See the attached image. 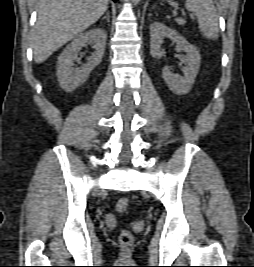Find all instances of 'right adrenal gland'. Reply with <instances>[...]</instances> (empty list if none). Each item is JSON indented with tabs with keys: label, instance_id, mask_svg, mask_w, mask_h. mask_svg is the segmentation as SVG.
I'll list each match as a JSON object with an SVG mask.
<instances>
[{
	"label": "right adrenal gland",
	"instance_id": "1",
	"mask_svg": "<svg viewBox=\"0 0 254 267\" xmlns=\"http://www.w3.org/2000/svg\"><path fill=\"white\" fill-rule=\"evenodd\" d=\"M102 19H107V21H110V15H109V11L106 12V16H104Z\"/></svg>",
	"mask_w": 254,
	"mask_h": 267
}]
</instances>
